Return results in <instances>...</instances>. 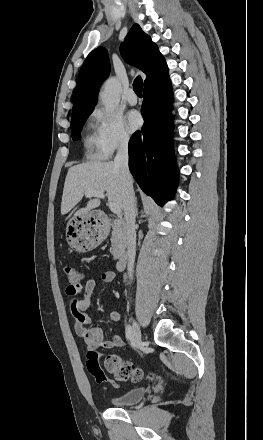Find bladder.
Segmentation results:
<instances>
[{
	"label": "bladder",
	"mask_w": 263,
	"mask_h": 440,
	"mask_svg": "<svg viewBox=\"0 0 263 440\" xmlns=\"http://www.w3.org/2000/svg\"><path fill=\"white\" fill-rule=\"evenodd\" d=\"M146 394L145 387H133L125 391L119 396L112 399V404L115 406H129L133 405L143 399Z\"/></svg>",
	"instance_id": "31cf9c89"
}]
</instances>
